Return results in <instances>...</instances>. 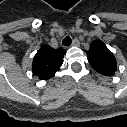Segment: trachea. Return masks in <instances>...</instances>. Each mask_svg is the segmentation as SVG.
I'll list each match as a JSON object with an SVG mask.
<instances>
[{
	"instance_id": "3493384b",
	"label": "trachea",
	"mask_w": 127,
	"mask_h": 127,
	"mask_svg": "<svg viewBox=\"0 0 127 127\" xmlns=\"http://www.w3.org/2000/svg\"><path fill=\"white\" fill-rule=\"evenodd\" d=\"M72 40L69 36H66L63 41H62V44L65 45V46H69L71 44Z\"/></svg>"
}]
</instances>
